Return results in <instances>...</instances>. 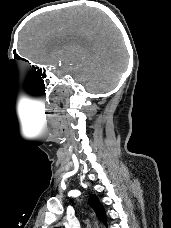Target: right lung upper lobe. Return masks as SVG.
<instances>
[{
	"mask_svg": "<svg viewBox=\"0 0 171 228\" xmlns=\"http://www.w3.org/2000/svg\"><path fill=\"white\" fill-rule=\"evenodd\" d=\"M89 204L94 208L98 219L106 224V215H105V210L102 204L99 202L98 198L96 195L92 194L89 198Z\"/></svg>",
	"mask_w": 171,
	"mask_h": 228,
	"instance_id": "obj_1",
	"label": "right lung upper lobe"
}]
</instances>
